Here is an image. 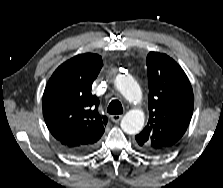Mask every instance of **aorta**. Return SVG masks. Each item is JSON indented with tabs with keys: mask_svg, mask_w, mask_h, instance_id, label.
<instances>
[{
	"mask_svg": "<svg viewBox=\"0 0 223 188\" xmlns=\"http://www.w3.org/2000/svg\"><path fill=\"white\" fill-rule=\"evenodd\" d=\"M115 85L127 101L131 103H139L141 101V88L131 75H117ZM144 121V113L141 110L134 109L124 115L120 125L125 133L133 135L143 129Z\"/></svg>",
	"mask_w": 223,
	"mask_h": 188,
	"instance_id": "1",
	"label": "aorta"
}]
</instances>
